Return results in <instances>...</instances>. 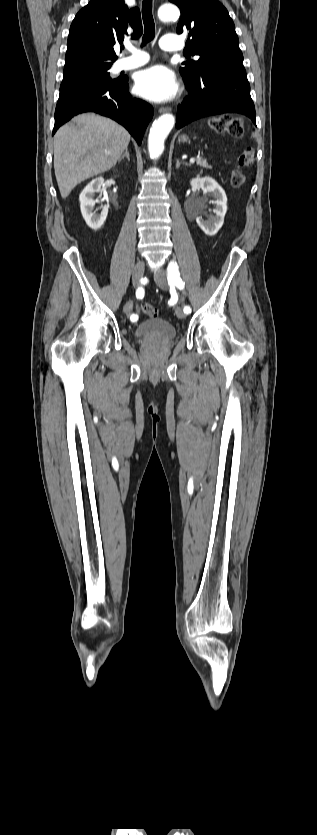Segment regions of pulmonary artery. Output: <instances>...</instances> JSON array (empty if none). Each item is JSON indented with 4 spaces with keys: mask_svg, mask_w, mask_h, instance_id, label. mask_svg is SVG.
<instances>
[{
    "mask_svg": "<svg viewBox=\"0 0 317 835\" xmlns=\"http://www.w3.org/2000/svg\"><path fill=\"white\" fill-rule=\"evenodd\" d=\"M160 47L165 51L176 52L183 49V44L176 35H165L161 38ZM126 50L129 55L121 57L115 64L118 71L140 67L149 60V56L144 51L133 45H127Z\"/></svg>",
    "mask_w": 317,
    "mask_h": 835,
    "instance_id": "e3ab8cb5",
    "label": "pulmonary artery"
}]
</instances>
